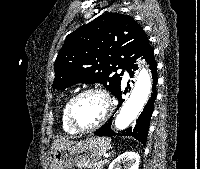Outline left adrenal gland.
I'll list each match as a JSON object with an SVG mask.
<instances>
[{
    "label": "left adrenal gland",
    "instance_id": "a2214340",
    "mask_svg": "<svg viewBox=\"0 0 200 169\" xmlns=\"http://www.w3.org/2000/svg\"><path fill=\"white\" fill-rule=\"evenodd\" d=\"M114 153H115V152H114V151H112V156L114 155Z\"/></svg>",
    "mask_w": 200,
    "mask_h": 169
}]
</instances>
